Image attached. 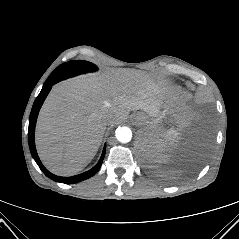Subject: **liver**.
Wrapping results in <instances>:
<instances>
[{
    "label": "liver",
    "instance_id": "6515ba94",
    "mask_svg": "<svg viewBox=\"0 0 239 239\" xmlns=\"http://www.w3.org/2000/svg\"><path fill=\"white\" fill-rule=\"evenodd\" d=\"M167 91L161 82L132 69L55 85L37 121L36 146L42 162L57 175L81 171L98 151L106 126L125 121L130 111L159 117L164 107L180 126L185 125L190 119L186 108L178 100L164 104ZM106 116L113 117L112 123L106 124Z\"/></svg>",
    "mask_w": 239,
    "mask_h": 239
}]
</instances>
